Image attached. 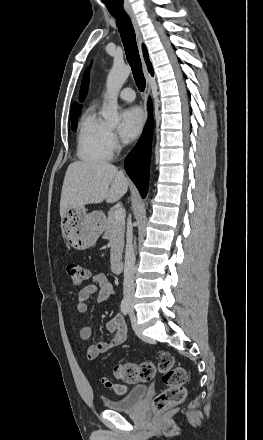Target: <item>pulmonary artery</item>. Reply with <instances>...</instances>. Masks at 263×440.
<instances>
[{
    "label": "pulmonary artery",
    "instance_id": "pulmonary-artery-1",
    "mask_svg": "<svg viewBox=\"0 0 263 440\" xmlns=\"http://www.w3.org/2000/svg\"><path fill=\"white\" fill-rule=\"evenodd\" d=\"M119 98L125 101H133L135 99V92L132 88L125 87L119 93Z\"/></svg>",
    "mask_w": 263,
    "mask_h": 440
}]
</instances>
